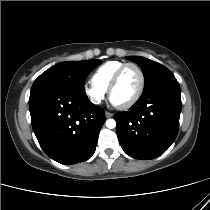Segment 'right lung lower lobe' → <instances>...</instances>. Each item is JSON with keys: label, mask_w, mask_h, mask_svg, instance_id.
I'll list each match as a JSON object with an SVG mask.
<instances>
[{"label": "right lung lower lobe", "mask_w": 210, "mask_h": 210, "mask_svg": "<svg viewBox=\"0 0 210 210\" xmlns=\"http://www.w3.org/2000/svg\"><path fill=\"white\" fill-rule=\"evenodd\" d=\"M29 108L34 133L50 158L70 165L94 154L105 114L85 93L61 87L32 90Z\"/></svg>", "instance_id": "right-lung-lower-lobe-1"}]
</instances>
